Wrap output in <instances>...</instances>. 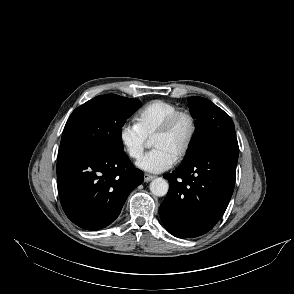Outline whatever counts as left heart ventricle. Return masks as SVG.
<instances>
[{
  "instance_id": "1",
  "label": "left heart ventricle",
  "mask_w": 294,
  "mask_h": 294,
  "mask_svg": "<svg viewBox=\"0 0 294 294\" xmlns=\"http://www.w3.org/2000/svg\"><path fill=\"white\" fill-rule=\"evenodd\" d=\"M189 132V120L186 117H181L168 133L152 139V146L154 148H163L177 157L188 139Z\"/></svg>"
}]
</instances>
